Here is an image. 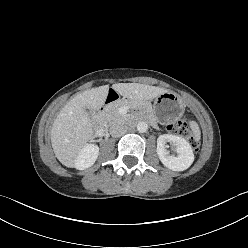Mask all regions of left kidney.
<instances>
[{"label": "left kidney", "instance_id": "left-kidney-1", "mask_svg": "<svg viewBox=\"0 0 248 248\" xmlns=\"http://www.w3.org/2000/svg\"><path fill=\"white\" fill-rule=\"evenodd\" d=\"M168 142L172 150L176 152V156L167 150ZM157 154L162 164L173 171H184L194 161L193 150L189 142L173 134H164L157 138Z\"/></svg>", "mask_w": 248, "mask_h": 248}]
</instances>
